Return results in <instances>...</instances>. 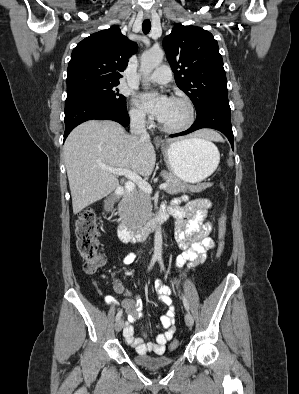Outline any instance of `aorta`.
<instances>
[{
	"instance_id": "obj_1",
	"label": "aorta",
	"mask_w": 299,
	"mask_h": 394,
	"mask_svg": "<svg viewBox=\"0 0 299 394\" xmlns=\"http://www.w3.org/2000/svg\"><path fill=\"white\" fill-rule=\"evenodd\" d=\"M164 57L162 49H151L141 56L140 71L144 76L149 75L160 63ZM162 252V232L161 227H157L154 237V255H161Z\"/></svg>"
}]
</instances>
